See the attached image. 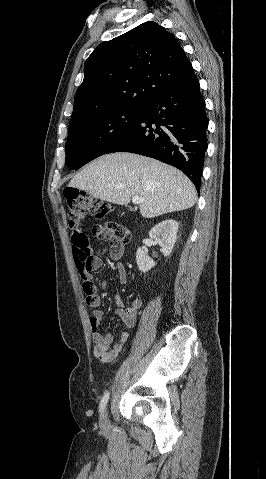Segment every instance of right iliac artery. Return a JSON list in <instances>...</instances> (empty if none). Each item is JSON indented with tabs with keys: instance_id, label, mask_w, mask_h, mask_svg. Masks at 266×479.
Returning <instances> with one entry per match:
<instances>
[{
	"instance_id": "obj_1",
	"label": "right iliac artery",
	"mask_w": 266,
	"mask_h": 479,
	"mask_svg": "<svg viewBox=\"0 0 266 479\" xmlns=\"http://www.w3.org/2000/svg\"><path fill=\"white\" fill-rule=\"evenodd\" d=\"M108 399H109V392H106V393L104 394V396L102 397L101 402H100V406H99L101 413L104 411V408H105V406H106V404H107V402H108Z\"/></svg>"
}]
</instances>
